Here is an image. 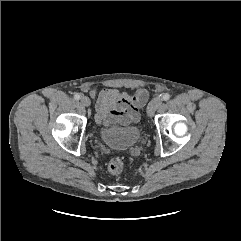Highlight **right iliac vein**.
Returning <instances> with one entry per match:
<instances>
[{"mask_svg":"<svg viewBox=\"0 0 241 241\" xmlns=\"http://www.w3.org/2000/svg\"><path fill=\"white\" fill-rule=\"evenodd\" d=\"M80 101H81L82 105H84L86 107L90 106V104H91V101H90L89 97H87V96H82Z\"/></svg>","mask_w":241,"mask_h":241,"instance_id":"right-iliac-vein-1","label":"right iliac vein"}]
</instances>
